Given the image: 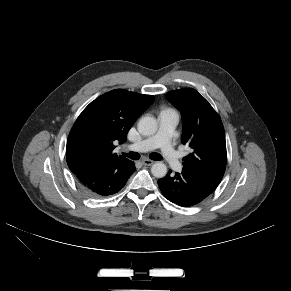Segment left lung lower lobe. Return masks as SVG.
<instances>
[{"label": "left lung lower lobe", "instance_id": "left-lung-lower-lobe-1", "mask_svg": "<svg viewBox=\"0 0 291 291\" xmlns=\"http://www.w3.org/2000/svg\"><path fill=\"white\" fill-rule=\"evenodd\" d=\"M219 183L185 168L173 176L170 170L164 178L158 180L163 195L169 201L183 207L200 203L217 188Z\"/></svg>", "mask_w": 291, "mask_h": 291}]
</instances>
